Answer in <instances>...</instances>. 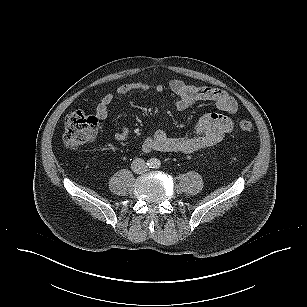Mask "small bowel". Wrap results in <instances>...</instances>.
I'll return each instance as SVG.
<instances>
[{
	"label": "small bowel",
	"mask_w": 307,
	"mask_h": 307,
	"mask_svg": "<svg viewBox=\"0 0 307 307\" xmlns=\"http://www.w3.org/2000/svg\"><path fill=\"white\" fill-rule=\"evenodd\" d=\"M166 90L177 97L175 107L180 111L188 109L197 102H211L218 110L228 114H235L239 108L236 99L226 91L211 87H195L177 79L169 81L166 85L142 81L124 83L117 87L115 93L119 96L132 92L161 94ZM113 99V93L103 95L96 108V116L99 119L107 118ZM233 127L234 122L231 118L219 113H209L200 118L192 135L170 137L159 130L144 140L142 148L145 152L195 153L219 143L233 130ZM129 136L130 131L125 126L115 133V139L119 142L127 141Z\"/></svg>",
	"instance_id": "small-bowel-1"
}]
</instances>
